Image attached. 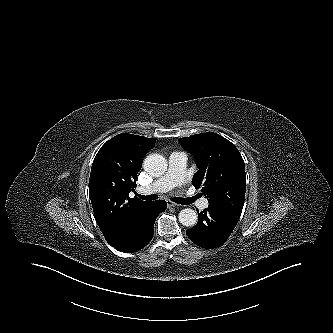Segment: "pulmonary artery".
<instances>
[{"instance_id": "1", "label": "pulmonary artery", "mask_w": 333, "mask_h": 333, "mask_svg": "<svg viewBox=\"0 0 333 333\" xmlns=\"http://www.w3.org/2000/svg\"><path fill=\"white\" fill-rule=\"evenodd\" d=\"M186 155L181 152H174L169 157V169L167 173L155 181L150 186L142 189V193L152 194V193H163L167 192L173 187L182 184L184 179V172L186 167ZM200 209H205L208 206L207 199H201L198 204Z\"/></svg>"}]
</instances>
